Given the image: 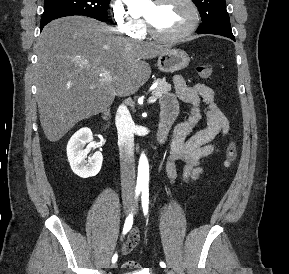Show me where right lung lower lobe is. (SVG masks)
I'll list each match as a JSON object with an SVG mask.
<instances>
[{
	"mask_svg": "<svg viewBox=\"0 0 289 274\" xmlns=\"http://www.w3.org/2000/svg\"><path fill=\"white\" fill-rule=\"evenodd\" d=\"M49 22H50V21H47V22L41 23V25H40V29L42 30L43 27H44L46 24H48Z\"/></svg>",
	"mask_w": 289,
	"mask_h": 274,
	"instance_id": "obj_1",
	"label": "right lung lower lobe"
}]
</instances>
